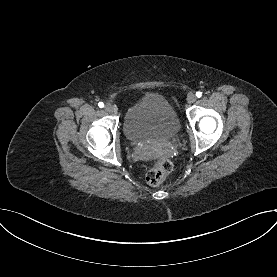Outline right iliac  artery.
Instances as JSON below:
<instances>
[{"instance_id": "right-iliac-artery-1", "label": "right iliac artery", "mask_w": 277, "mask_h": 277, "mask_svg": "<svg viewBox=\"0 0 277 277\" xmlns=\"http://www.w3.org/2000/svg\"><path fill=\"white\" fill-rule=\"evenodd\" d=\"M98 106H99L100 108H103V107H104V103H103V102H99Z\"/></svg>"}]
</instances>
